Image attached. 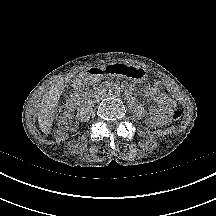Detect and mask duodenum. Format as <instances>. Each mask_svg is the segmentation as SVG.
Masks as SVG:
<instances>
[{
	"label": "duodenum",
	"mask_w": 216,
	"mask_h": 216,
	"mask_svg": "<svg viewBox=\"0 0 216 216\" xmlns=\"http://www.w3.org/2000/svg\"><path fill=\"white\" fill-rule=\"evenodd\" d=\"M107 73V69L104 68H93L88 70L87 74L90 76H102L104 74ZM127 89H129V87H127ZM101 88L92 91V92H79L74 94L71 99H70V103L73 106L79 105L81 103H83L84 101H86L87 99H89L90 97L96 95V94H101L102 93Z\"/></svg>",
	"instance_id": "obj_1"
}]
</instances>
